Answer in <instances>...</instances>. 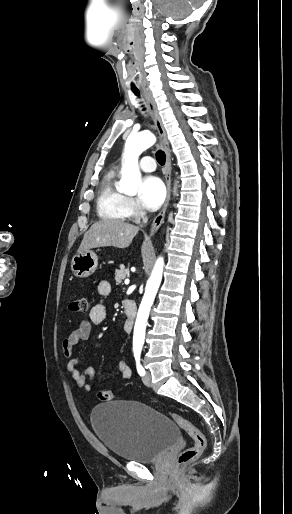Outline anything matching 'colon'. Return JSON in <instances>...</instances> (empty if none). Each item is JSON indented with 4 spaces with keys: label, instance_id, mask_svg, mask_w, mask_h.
Masks as SVG:
<instances>
[{
    "label": "colon",
    "instance_id": "1",
    "mask_svg": "<svg viewBox=\"0 0 292 514\" xmlns=\"http://www.w3.org/2000/svg\"><path fill=\"white\" fill-rule=\"evenodd\" d=\"M69 311L73 313H84L88 311V301L86 298L80 297L73 299L69 303ZM98 398L101 401H111L114 394L109 388L102 387L98 390ZM170 417L189 435L192 439V445L182 450L178 456L180 464L195 461L206 449V437L204 433L191 421L184 418L178 413H170Z\"/></svg>",
    "mask_w": 292,
    "mask_h": 514
}]
</instances>
